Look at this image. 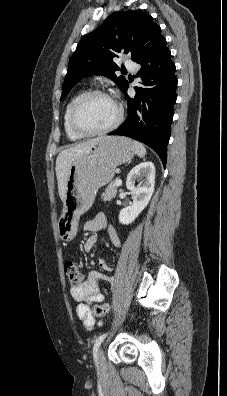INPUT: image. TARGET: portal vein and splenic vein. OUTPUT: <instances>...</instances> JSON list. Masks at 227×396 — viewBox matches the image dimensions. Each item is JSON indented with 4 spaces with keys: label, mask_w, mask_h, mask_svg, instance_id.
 Segmentation results:
<instances>
[{
    "label": "portal vein and splenic vein",
    "mask_w": 227,
    "mask_h": 396,
    "mask_svg": "<svg viewBox=\"0 0 227 396\" xmlns=\"http://www.w3.org/2000/svg\"><path fill=\"white\" fill-rule=\"evenodd\" d=\"M115 184H116V186H121V184H122V180H120V179H117V180H116V182H115Z\"/></svg>",
    "instance_id": "portal-vein-and-splenic-vein-1"
}]
</instances>
